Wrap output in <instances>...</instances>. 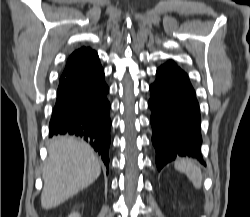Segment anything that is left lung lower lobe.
I'll list each match as a JSON object with an SVG mask.
<instances>
[{"label":"left lung lower lobe","instance_id":"left-lung-lower-lobe-1","mask_svg":"<svg viewBox=\"0 0 250 217\" xmlns=\"http://www.w3.org/2000/svg\"><path fill=\"white\" fill-rule=\"evenodd\" d=\"M150 91L148 106L158 170L179 156L203 163L199 105L188 75L170 60L158 68Z\"/></svg>","mask_w":250,"mask_h":217}]
</instances>
